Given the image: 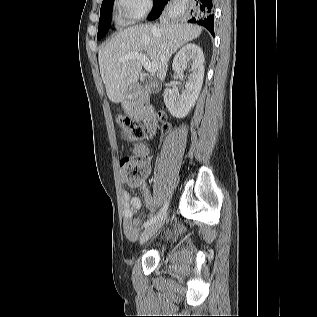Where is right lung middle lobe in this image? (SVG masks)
<instances>
[{
    "label": "right lung middle lobe",
    "instance_id": "dd1d6c3e",
    "mask_svg": "<svg viewBox=\"0 0 317 317\" xmlns=\"http://www.w3.org/2000/svg\"><path fill=\"white\" fill-rule=\"evenodd\" d=\"M158 0H154L156 3ZM114 0H103L100 9L99 29L97 39H101L108 31L110 27V21L112 17V7Z\"/></svg>",
    "mask_w": 317,
    "mask_h": 317
}]
</instances>
